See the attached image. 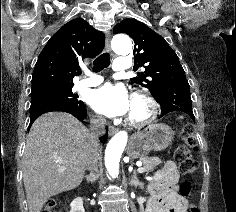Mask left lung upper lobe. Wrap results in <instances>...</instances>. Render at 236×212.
Here are the masks:
<instances>
[{"mask_svg":"<svg viewBox=\"0 0 236 212\" xmlns=\"http://www.w3.org/2000/svg\"><path fill=\"white\" fill-rule=\"evenodd\" d=\"M113 32L125 33L132 37L135 68L143 66L145 72L131 78V81L150 89L155 99L166 87L186 79L173 49L162 36L144 23L127 18L117 24Z\"/></svg>","mask_w":236,"mask_h":212,"instance_id":"1","label":"left lung upper lobe"}]
</instances>
